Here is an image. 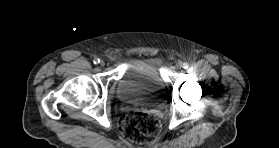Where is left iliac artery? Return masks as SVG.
<instances>
[{"instance_id": "44dca946", "label": "left iliac artery", "mask_w": 279, "mask_h": 148, "mask_svg": "<svg viewBox=\"0 0 279 148\" xmlns=\"http://www.w3.org/2000/svg\"><path fill=\"white\" fill-rule=\"evenodd\" d=\"M182 67H183L184 69H187V68L189 67V64H188L187 62H185V63H183Z\"/></svg>"}]
</instances>
